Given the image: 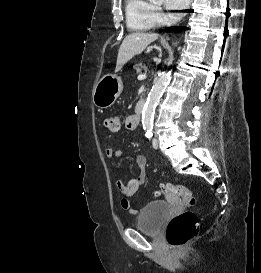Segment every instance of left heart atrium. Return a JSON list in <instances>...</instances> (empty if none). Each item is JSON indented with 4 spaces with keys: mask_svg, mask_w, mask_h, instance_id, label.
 I'll return each mask as SVG.
<instances>
[{
    "mask_svg": "<svg viewBox=\"0 0 261 273\" xmlns=\"http://www.w3.org/2000/svg\"><path fill=\"white\" fill-rule=\"evenodd\" d=\"M190 0H165V6L168 10H171L173 18H179L182 15V11L186 9Z\"/></svg>",
    "mask_w": 261,
    "mask_h": 273,
    "instance_id": "left-heart-atrium-1",
    "label": "left heart atrium"
}]
</instances>
